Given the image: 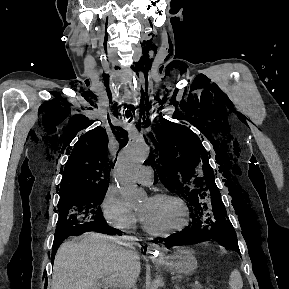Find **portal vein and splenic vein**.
Here are the masks:
<instances>
[{
    "instance_id": "18ae733b",
    "label": "portal vein and splenic vein",
    "mask_w": 289,
    "mask_h": 289,
    "mask_svg": "<svg viewBox=\"0 0 289 289\" xmlns=\"http://www.w3.org/2000/svg\"><path fill=\"white\" fill-rule=\"evenodd\" d=\"M105 285H106V288L108 287H118V283L115 281V280H105ZM194 287L195 288H199L201 287V284L198 282V281H195L194 283Z\"/></svg>"
}]
</instances>
